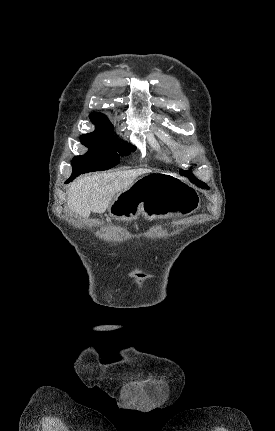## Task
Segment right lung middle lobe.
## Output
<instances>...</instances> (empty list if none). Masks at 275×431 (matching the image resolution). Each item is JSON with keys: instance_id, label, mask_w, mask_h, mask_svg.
<instances>
[{"instance_id": "dd1d6c3e", "label": "right lung middle lobe", "mask_w": 275, "mask_h": 431, "mask_svg": "<svg viewBox=\"0 0 275 431\" xmlns=\"http://www.w3.org/2000/svg\"><path fill=\"white\" fill-rule=\"evenodd\" d=\"M95 125L97 128L94 132L81 136L82 144L88 147L89 151L85 155L73 158L71 177L112 168L119 163V156L135 150L130 144L114 141L113 126L109 122Z\"/></svg>"}]
</instances>
